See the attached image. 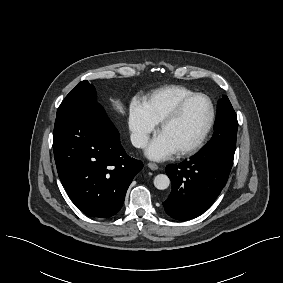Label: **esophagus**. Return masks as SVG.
Segmentation results:
<instances>
[{"mask_svg": "<svg viewBox=\"0 0 283 283\" xmlns=\"http://www.w3.org/2000/svg\"><path fill=\"white\" fill-rule=\"evenodd\" d=\"M148 167H149L151 170H157V169H158V165L155 164V163H148Z\"/></svg>", "mask_w": 283, "mask_h": 283, "instance_id": "34e87169", "label": "esophagus"}]
</instances>
